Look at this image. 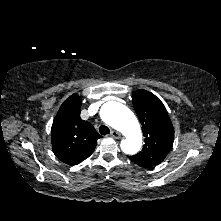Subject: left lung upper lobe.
I'll use <instances>...</instances> for the list:
<instances>
[{"instance_id": "left-lung-upper-lobe-1", "label": "left lung upper lobe", "mask_w": 221, "mask_h": 221, "mask_svg": "<svg viewBox=\"0 0 221 221\" xmlns=\"http://www.w3.org/2000/svg\"><path fill=\"white\" fill-rule=\"evenodd\" d=\"M134 109L142 124L145 137L140 153L130 159L141 167L160 164L174 141V129L163 103L151 92L138 90L132 95Z\"/></svg>"}]
</instances>
